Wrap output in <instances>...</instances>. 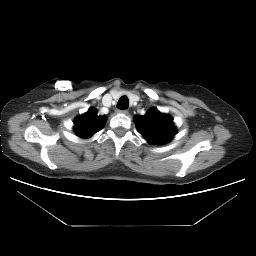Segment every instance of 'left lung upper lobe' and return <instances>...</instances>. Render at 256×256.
Segmentation results:
<instances>
[{
  "label": "left lung upper lobe",
  "mask_w": 256,
  "mask_h": 256,
  "mask_svg": "<svg viewBox=\"0 0 256 256\" xmlns=\"http://www.w3.org/2000/svg\"><path fill=\"white\" fill-rule=\"evenodd\" d=\"M133 120L138 132L151 144H165L176 134L173 119L156 108H151L144 116H135Z\"/></svg>",
  "instance_id": "1"
}]
</instances>
